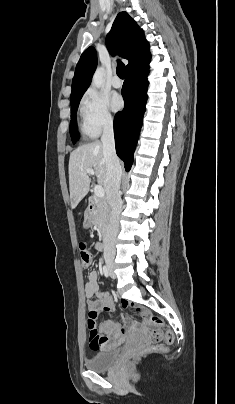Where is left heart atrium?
Returning a JSON list of instances; mask_svg holds the SVG:
<instances>
[{
  "instance_id": "left-heart-atrium-1",
  "label": "left heart atrium",
  "mask_w": 235,
  "mask_h": 404,
  "mask_svg": "<svg viewBox=\"0 0 235 404\" xmlns=\"http://www.w3.org/2000/svg\"><path fill=\"white\" fill-rule=\"evenodd\" d=\"M111 107L114 111H118L123 107V100L119 95H113L111 98Z\"/></svg>"
}]
</instances>
